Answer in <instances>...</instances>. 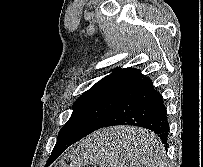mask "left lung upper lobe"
I'll return each instance as SVG.
<instances>
[{
	"label": "left lung upper lobe",
	"mask_w": 203,
	"mask_h": 167,
	"mask_svg": "<svg viewBox=\"0 0 203 167\" xmlns=\"http://www.w3.org/2000/svg\"><path fill=\"white\" fill-rule=\"evenodd\" d=\"M112 71L75 101L73 113L57 140L72 135L85 136L95 131L140 73L132 67Z\"/></svg>",
	"instance_id": "obj_1"
}]
</instances>
